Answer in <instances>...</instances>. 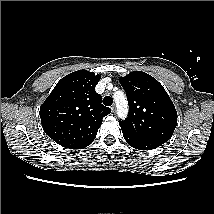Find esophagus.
I'll return each instance as SVG.
<instances>
[{
    "mask_svg": "<svg viewBox=\"0 0 214 214\" xmlns=\"http://www.w3.org/2000/svg\"><path fill=\"white\" fill-rule=\"evenodd\" d=\"M111 111L114 113L116 111V106L115 105H112L111 106Z\"/></svg>",
    "mask_w": 214,
    "mask_h": 214,
    "instance_id": "1",
    "label": "esophagus"
}]
</instances>
